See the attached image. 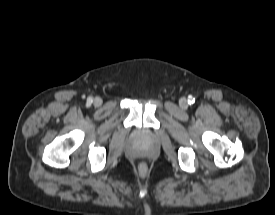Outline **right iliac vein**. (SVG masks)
Returning a JSON list of instances; mask_svg holds the SVG:
<instances>
[{
    "label": "right iliac vein",
    "mask_w": 275,
    "mask_h": 215,
    "mask_svg": "<svg viewBox=\"0 0 275 215\" xmlns=\"http://www.w3.org/2000/svg\"><path fill=\"white\" fill-rule=\"evenodd\" d=\"M93 105L96 107H100L102 105V99L99 97L94 98Z\"/></svg>",
    "instance_id": "right-iliac-vein-1"
}]
</instances>
